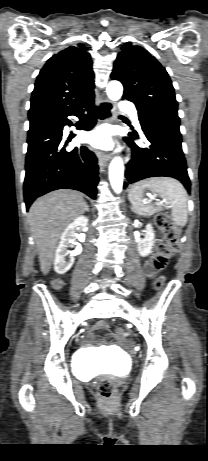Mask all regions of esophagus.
<instances>
[{
  "mask_svg": "<svg viewBox=\"0 0 208 461\" xmlns=\"http://www.w3.org/2000/svg\"><path fill=\"white\" fill-rule=\"evenodd\" d=\"M115 107L112 105L108 98L101 97L100 103L97 104L96 116L100 123L110 122L113 119ZM97 157L99 165L101 167L106 166L107 162L111 158L110 154H105L101 151H97Z\"/></svg>",
  "mask_w": 208,
  "mask_h": 461,
  "instance_id": "34e87169",
  "label": "esophagus"
}]
</instances>
